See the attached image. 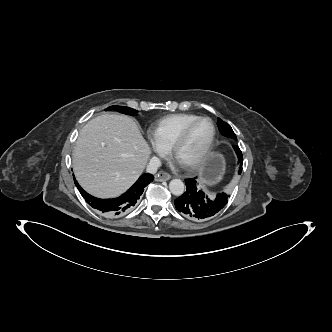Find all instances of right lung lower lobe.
<instances>
[{"label": "right lung lower lobe", "mask_w": 332, "mask_h": 332, "mask_svg": "<svg viewBox=\"0 0 332 332\" xmlns=\"http://www.w3.org/2000/svg\"><path fill=\"white\" fill-rule=\"evenodd\" d=\"M153 179V175L147 173L143 174L126 193L114 199H99L93 197L81 188L75 178L74 181L79 192L90 206L98 209L103 214L117 216L129 212L135 206L144 188L152 182Z\"/></svg>", "instance_id": "1"}]
</instances>
